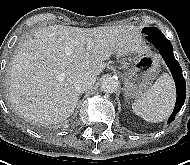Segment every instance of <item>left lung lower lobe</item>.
Returning a JSON list of instances; mask_svg holds the SVG:
<instances>
[{
    "mask_svg": "<svg viewBox=\"0 0 190 165\" xmlns=\"http://www.w3.org/2000/svg\"><path fill=\"white\" fill-rule=\"evenodd\" d=\"M149 41L159 50L175 81L177 99L174 111L168 120V123H170L175 119L176 114L181 110L184 104L186 97V83L182 75V69L174 57L173 47L170 41L163 34L154 36L150 38Z\"/></svg>",
    "mask_w": 190,
    "mask_h": 165,
    "instance_id": "obj_1",
    "label": "left lung lower lobe"
}]
</instances>
